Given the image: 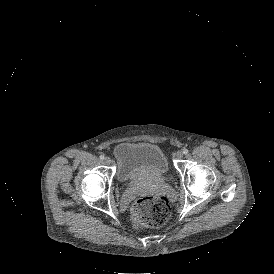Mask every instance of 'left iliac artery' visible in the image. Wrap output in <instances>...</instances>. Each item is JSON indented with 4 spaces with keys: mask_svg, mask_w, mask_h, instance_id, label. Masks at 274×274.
<instances>
[{
    "mask_svg": "<svg viewBox=\"0 0 274 274\" xmlns=\"http://www.w3.org/2000/svg\"><path fill=\"white\" fill-rule=\"evenodd\" d=\"M188 152H189V150H188V149H186V148H185V149H183V153H184V154H188Z\"/></svg>",
    "mask_w": 274,
    "mask_h": 274,
    "instance_id": "1",
    "label": "left iliac artery"
}]
</instances>
